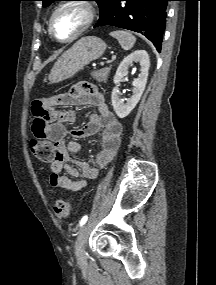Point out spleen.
Returning <instances> with one entry per match:
<instances>
[{"mask_svg":"<svg viewBox=\"0 0 216 285\" xmlns=\"http://www.w3.org/2000/svg\"><path fill=\"white\" fill-rule=\"evenodd\" d=\"M110 35L118 40L124 50H130L136 42V38L128 31H113Z\"/></svg>","mask_w":216,"mask_h":285,"instance_id":"spleen-1","label":"spleen"}]
</instances>
